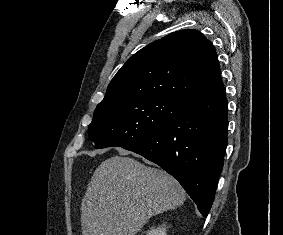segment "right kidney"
Instances as JSON below:
<instances>
[{
  "label": "right kidney",
  "instance_id": "1",
  "mask_svg": "<svg viewBox=\"0 0 283 235\" xmlns=\"http://www.w3.org/2000/svg\"><path fill=\"white\" fill-rule=\"evenodd\" d=\"M147 235H166V230L164 228H156L151 230Z\"/></svg>",
  "mask_w": 283,
  "mask_h": 235
}]
</instances>
